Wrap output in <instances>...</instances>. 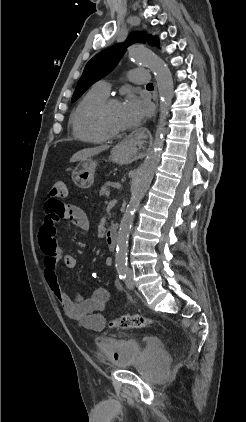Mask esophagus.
Returning a JSON list of instances; mask_svg holds the SVG:
<instances>
[{
	"instance_id": "esophagus-1",
	"label": "esophagus",
	"mask_w": 246,
	"mask_h": 422,
	"mask_svg": "<svg viewBox=\"0 0 246 422\" xmlns=\"http://www.w3.org/2000/svg\"><path fill=\"white\" fill-rule=\"evenodd\" d=\"M154 99L157 102V91L155 90L154 92ZM151 142V140H150ZM126 145L129 149L134 150L136 148V146H142L143 142L139 141V140H135L134 138H130L127 142Z\"/></svg>"
}]
</instances>
